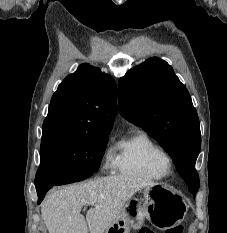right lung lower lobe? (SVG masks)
<instances>
[{"label": "right lung lower lobe", "instance_id": "right-lung-lower-lobe-1", "mask_svg": "<svg viewBox=\"0 0 227 233\" xmlns=\"http://www.w3.org/2000/svg\"><path fill=\"white\" fill-rule=\"evenodd\" d=\"M53 187V186H51ZM51 187H47V188H44V189H40V190H37V193H38V204H40L42 202V200L44 199L45 197V194L46 192L51 188Z\"/></svg>", "mask_w": 227, "mask_h": 233}]
</instances>
